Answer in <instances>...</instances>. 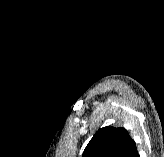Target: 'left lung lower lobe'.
<instances>
[{"label":"left lung lower lobe","instance_id":"left-lung-lower-lobe-1","mask_svg":"<svg viewBox=\"0 0 164 157\" xmlns=\"http://www.w3.org/2000/svg\"><path fill=\"white\" fill-rule=\"evenodd\" d=\"M128 157H140L137 149H136V145L133 146L131 152L129 153Z\"/></svg>","mask_w":164,"mask_h":157}]
</instances>
